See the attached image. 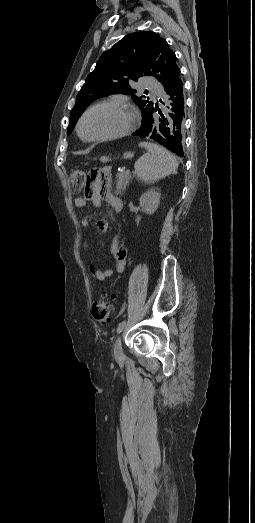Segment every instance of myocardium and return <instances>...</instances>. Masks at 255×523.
I'll list each match as a JSON object with an SVG mask.
<instances>
[{
  "instance_id": "1",
  "label": "myocardium",
  "mask_w": 255,
  "mask_h": 523,
  "mask_svg": "<svg viewBox=\"0 0 255 523\" xmlns=\"http://www.w3.org/2000/svg\"><path fill=\"white\" fill-rule=\"evenodd\" d=\"M100 106H116V107H126V108L131 109V111L133 113V119H132L131 124L129 125V127L125 131H123L121 133H118V134H115V135H112V136H107V137H102V138H86V137H84L83 134H82V124H83L84 118L86 117V115L92 109H94L96 107H100ZM140 122H141V116H140V113H139L137 107L134 104L129 103V102H125V101H103V102H98V103H95V104L89 106L82 113V115L80 116V118L78 120L77 132H78V135L80 136V138L82 140L86 141V142L102 143V142L118 140V139H121V138H124V137H127V136L131 135L137 129V127L139 126Z\"/></svg>"
}]
</instances>
